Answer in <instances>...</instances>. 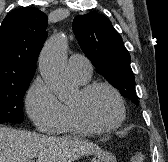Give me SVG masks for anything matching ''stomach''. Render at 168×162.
Returning a JSON list of instances; mask_svg holds the SVG:
<instances>
[{
    "instance_id": "1",
    "label": "stomach",
    "mask_w": 168,
    "mask_h": 162,
    "mask_svg": "<svg viewBox=\"0 0 168 162\" xmlns=\"http://www.w3.org/2000/svg\"><path fill=\"white\" fill-rule=\"evenodd\" d=\"M91 162H117L116 158L110 152L95 153Z\"/></svg>"
}]
</instances>
